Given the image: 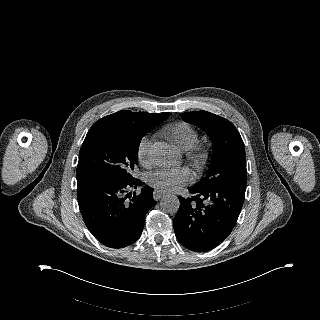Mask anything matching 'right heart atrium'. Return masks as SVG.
Instances as JSON below:
<instances>
[{
    "label": "right heart atrium",
    "mask_w": 320,
    "mask_h": 320,
    "mask_svg": "<svg viewBox=\"0 0 320 320\" xmlns=\"http://www.w3.org/2000/svg\"><path fill=\"white\" fill-rule=\"evenodd\" d=\"M151 144V140L148 137H143L139 142L137 148V155L140 163L145 164L148 162V151Z\"/></svg>",
    "instance_id": "1"
}]
</instances>
